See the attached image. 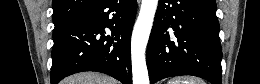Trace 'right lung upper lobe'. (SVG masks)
I'll return each instance as SVG.
<instances>
[{"label": "right lung upper lobe", "mask_w": 260, "mask_h": 84, "mask_svg": "<svg viewBox=\"0 0 260 84\" xmlns=\"http://www.w3.org/2000/svg\"><path fill=\"white\" fill-rule=\"evenodd\" d=\"M97 2L98 0H53V23L55 28H61Z\"/></svg>", "instance_id": "1"}]
</instances>
